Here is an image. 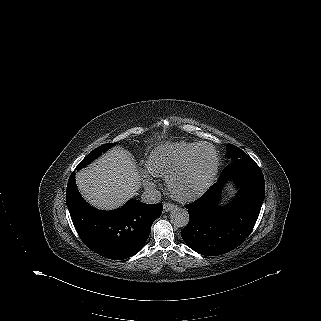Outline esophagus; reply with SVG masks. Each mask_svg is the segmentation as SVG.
<instances>
[{"mask_svg": "<svg viewBox=\"0 0 321 321\" xmlns=\"http://www.w3.org/2000/svg\"><path fill=\"white\" fill-rule=\"evenodd\" d=\"M177 206L174 205V204H171V203H165L164 204V211L165 212H170L172 211L173 209H175Z\"/></svg>", "mask_w": 321, "mask_h": 321, "instance_id": "obj_1", "label": "esophagus"}]
</instances>
